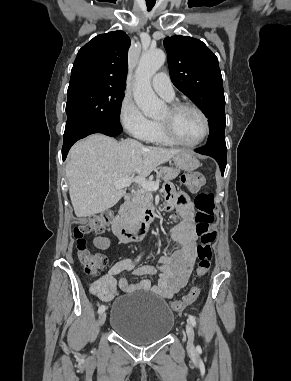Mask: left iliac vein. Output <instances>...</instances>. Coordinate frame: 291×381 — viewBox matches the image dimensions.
I'll return each instance as SVG.
<instances>
[{"mask_svg": "<svg viewBox=\"0 0 291 381\" xmlns=\"http://www.w3.org/2000/svg\"><path fill=\"white\" fill-rule=\"evenodd\" d=\"M186 333L188 337V348L189 349H194L193 341H194V330L192 325L187 322L186 323Z\"/></svg>", "mask_w": 291, "mask_h": 381, "instance_id": "1", "label": "left iliac vein"}]
</instances>
